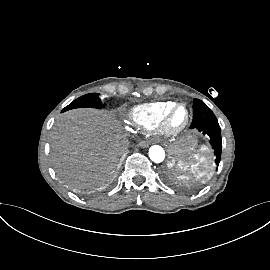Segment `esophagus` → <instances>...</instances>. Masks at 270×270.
Returning <instances> with one entry per match:
<instances>
[{
    "mask_svg": "<svg viewBox=\"0 0 270 270\" xmlns=\"http://www.w3.org/2000/svg\"><path fill=\"white\" fill-rule=\"evenodd\" d=\"M139 145L141 146V147H148V146H150L151 145V142L150 141H145V140H143V141H141L140 143H139Z\"/></svg>",
    "mask_w": 270,
    "mask_h": 270,
    "instance_id": "esophagus-1",
    "label": "esophagus"
}]
</instances>
